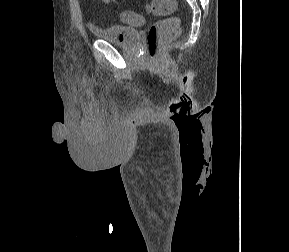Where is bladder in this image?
<instances>
[{
  "label": "bladder",
  "instance_id": "1",
  "mask_svg": "<svg viewBox=\"0 0 289 252\" xmlns=\"http://www.w3.org/2000/svg\"><path fill=\"white\" fill-rule=\"evenodd\" d=\"M90 30L95 37L121 47L135 46L140 40L137 29L125 26L113 25L105 28L91 26Z\"/></svg>",
  "mask_w": 289,
  "mask_h": 252
}]
</instances>
